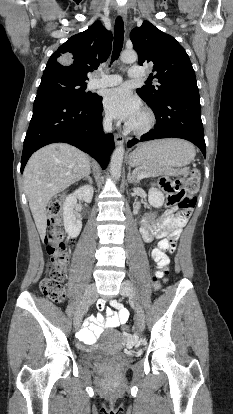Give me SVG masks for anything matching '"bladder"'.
Returning <instances> with one entry per match:
<instances>
[{"mask_svg":"<svg viewBox=\"0 0 233 414\" xmlns=\"http://www.w3.org/2000/svg\"><path fill=\"white\" fill-rule=\"evenodd\" d=\"M115 338H119V333L117 331H113L111 333ZM120 347L117 344H109L107 346L100 347L95 349L91 352L84 353L81 355V360L84 363L92 364L104 359L114 357L119 354Z\"/></svg>","mask_w":233,"mask_h":414,"instance_id":"1","label":"bladder"}]
</instances>
